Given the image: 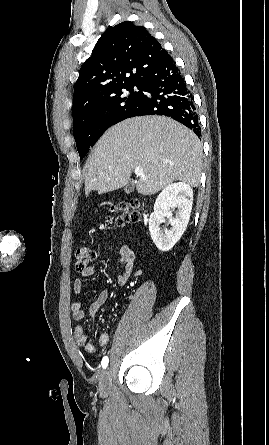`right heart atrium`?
I'll return each instance as SVG.
<instances>
[{
  "label": "right heart atrium",
  "instance_id": "d8ad5b80",
  "mask_svg": "<svg viewBox=\"0 0 269 445\" xmlns=\"http://www.w3.org/2000/svg\"><path fill=\"white\" fill-rule=\"evenodd\" d=\"M98 114L100 117H106L108 115V109L106 107H101L98 110Z\"/></svg>",
  "mask_w": 269,
  "mask_h": 445
}]
</instances>
